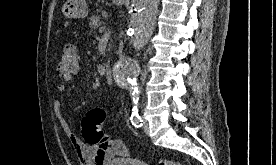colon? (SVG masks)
<instances>
[{
  "label": "colon",
  "instance_id": "5ec220e1",
  "mask_svg": "<svg viewBox=\"0 0 276 165\" xmlns=\"http://www.w3.org/2000/svg\"><path fill=\"white\" fill-rule=\"evenodd\" d=\"M79 67V55L73 44H66L62 50L58 63V73L61 77L72 76ZM106 118V112L102 108L91 109L82 119V132L86 142L98 149L101 154H124L123 147L116 139L105 135L102 125ZM158 165H183L179 162L160 159Z\"/></svg>",
  "mask_w": 276,
  "mask_h": 165
}]
</instances>
